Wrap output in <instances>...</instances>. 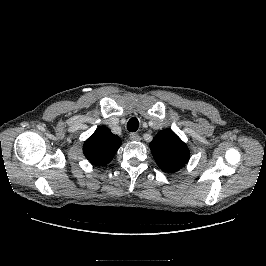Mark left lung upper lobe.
Returning <instances> with one entry per match:
<instances>
[{
	"mask_svg": "<svg viewBox=\"0 0 266 266\" xmlns=\"http://www.w3.org/2000/svg\"><path fill=\"white\" fill-rule=\"evenodd\" d=\"M150 149L159 168L167 173L179 171L190 158L187 145L170 129L159 131Z\"/></svg>",
	"mask_w": 266,
	"mask_h": 266,
	"instance_id": "left-lung-upper-lobe-1",
	"label": "left lung upper lobe"
}]
</instances>
